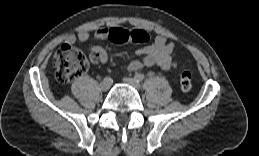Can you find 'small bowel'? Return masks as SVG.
I'll return each mask as SVG.
<instances>
[{
	"instance_id": "small-bowel-1",
	"label": "small bowel",
	"mask_w": 259,
	"mask_h": 156,
	"mask_svg": "<svg viewBox=\"0 0 259 156\" xmlns=\"http://www.w3.org/2000/svg\"><path fill=\"white\" fill-rule=\"evenodd\" d=\"M115 28H100L94 33V38L97 41H103L109 39L110 32ZM90 39V33L88 31H80L77 36L69 35L66 38V42L73 44L76 40L86 42ZM175 44L168 40L165 36L158 35L155 37L150 45L141 47L135 51V55L139 59L132 60L128 69L131 71H137L143 67L157 66L163 70H170L177 68V63L174 61ZM90 60L93 63H106L108 61V53L101 46H92L90 48Z\"/></svg>"
}]
</instances>
